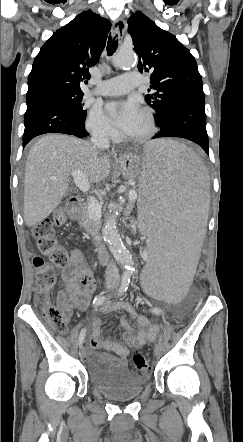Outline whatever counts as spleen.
<instances>
[{
	"label": "spleen",
	"mask_w": 243,
	"mask_h": 442,
	"mask_svg": "<svg viewBox=\"0 0 243 442\" xmlns=\"http://www.w3.org/2000/svg\"><path fill=\"white\" fill-rule=\"evenodd\" d=\"M141 237H149L139 291L152 302L182 307L193 285L197 245L206 232L207 172L199 156L169 139L149 142L139 155Z\"/></svg>",
	"instance_id": "obj_1"
}]
</instances>
